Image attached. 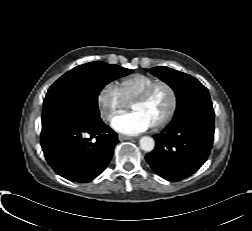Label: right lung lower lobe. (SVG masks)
<instances>
[{
	"label": "right lung lower lobe",
	"mask_w": 252,
	"mask_h": 231,
	"mask_svg": "<svg viewBox=\"0 0 252 231\" xmlns=\"http://www.w3.org/2000/svg\"><path fill=\"white\" fill-rule=\"evenodd\" d=\"M118 142L101 118L61 115L42 124L41 146L48 164L74 182H89L101 174Z\"/></svg>",
	"instance_id": "1"
}]
</instances>
